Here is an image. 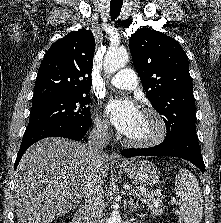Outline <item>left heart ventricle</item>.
<instances>
[{
  "label": "left heart ventricle",
  "instance_id": "b2bd125f",
  "mask_svg": "<svg viewBox=\"0 0 221 223\" xmlns=\"http://www.w3.org/2000/svg\"><path fill=\"white\" fill-rule=\"evenodd\" d=\"M157 131V124L152 116L142 114L134 129L127 137L135 140L146 139L154 135Z\"/></svg>",
  "mask_w": 221,
  "mask_h": 223
}]
</instances>
